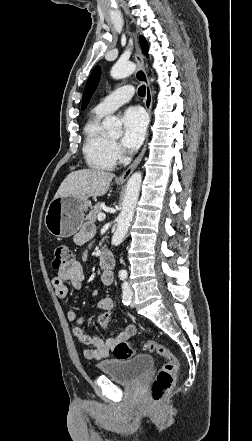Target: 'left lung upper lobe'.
Masks as SVG:
<instances>
[{
  "label": "left lung upper lobe",
  "instance_id": "5c2ea615",
  "mask_svg": "<svg viewBox=\"0 0 252 441\" xmlns=\"http://www.w3.org/2000/svg\"><path fill=\"white\" fill-rule=\"evenodd\" d=\"M140 43L142 46V50L143 53L145 55H147L148 52V45L146 40L144 39V37H140ZM99 77H100V68L97 66L95 67V69L93 70L91 76L89 77L86 86H85V90H84V94H83V101H82V109H85L93 92L95 91L98 82H99Z\"/></svg>",
  "mask_w": 252,
  "mask_h": 441
}]
</instances>
